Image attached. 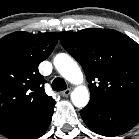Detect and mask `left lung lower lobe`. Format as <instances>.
I'll list each match as a JSON object with an SVG mask.
<instances>
[{"label":"left lung lower lobe","mask_w":139,"mask_h":139,"mask_svg":"<svg viewBox=\"0 0 139 139\" xmlns=\"http://www.w3.org/2000/svg\"><path fill=\"white\" fill-rule=\"evenodd\" d=\"M80 114L93 132L103 136H118L129 131L139 121V101L113 107L88 104Z\"/></svg>","instance_id":"obj_1"}]
</instances>
